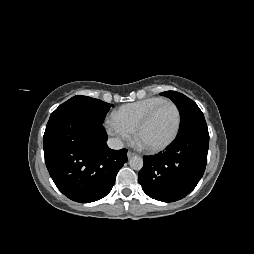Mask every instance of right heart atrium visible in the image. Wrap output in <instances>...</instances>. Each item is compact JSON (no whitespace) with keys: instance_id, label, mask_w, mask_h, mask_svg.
Segmentation results:
<instances>
[{"instance_id":"d8ad5b80","label":"right heart atrium","mask_w":254,"mask_h":254,"mask_svg":"<svg viewBox=\"0 0 254 254\" xmlns=\"http://www.w3.org/2000/svg\"><path fill=\"white\" fill-rule=\"evenodd\" d=\"M105 131L112 137L116 144H123L133 139L134 130L125 126L114 116L108 117L104 122Z\"/></svg>"}]
</instances>
